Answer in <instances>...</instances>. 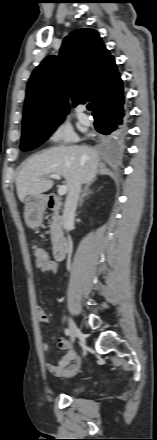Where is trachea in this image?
I'll return each mask as SVG.
<instances>
[{
	"instance_id": "1",
	"label": "trachea",
	"mask_w": 157,
	"mask_h": 440,
	"mask_svg": "<svg viewBox=\"0 0 157 440\" xmlns=\"http://www.w3.org/2000/svg\"><path fill=\"white\" fill-rule=\"evenodd\" d=\"M87 108H88V110H91V109L93 108V104H92V103H89V104L87 105Z\"/></svg>"
}]
</instances>
